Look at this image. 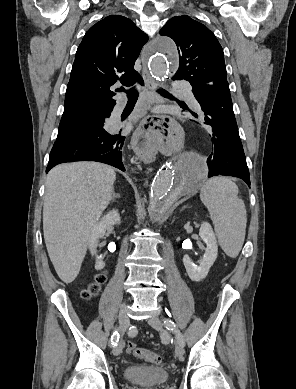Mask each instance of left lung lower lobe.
Masks as SVG:
<instances>
[{"mask_svg":"<svg viewBox=\"0 0 296 389\" xmlns=\"http://www.w3.org/2000/svg\"><path fill=\"white\" fill-rule=\"evenodd\" d=\"M192 87L205 114L203 123L212 131V152L207 159L208 176L238 177L250 187L249 170L233 112L229 84H194Z\"/></svg>","mask_w":296,"mask_h":389,"instance_id":"left-lung-lower-lobe-1","label":"left lung lower lobe"}]
</instances>
